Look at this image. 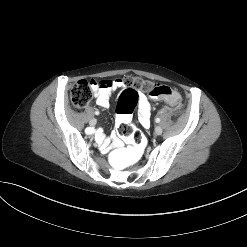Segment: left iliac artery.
<instances>
[{"mask_svg":"<svg viewBox=\"0 0 247 247\" xmlns=\"http://www.w3.org/2000/svg\"><path fill=\"white\" fill-rule=\"evenodd\" d=\"M155 122H156V123H159V122H160V118H156V119H155Z\"/></svg>","mask_w":247,"mask_h":247,"instance_id":"44dca946","label":"left iliac artery"}]
</instances>
